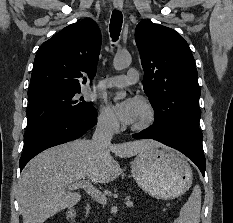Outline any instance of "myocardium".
I'll return each mask as SVG.
<instances>
[{"label": "myocardium", "mask_w": 233, "mask_h": 223, "mask_svg": "<svg viewBox=\"0 0 233 223\" xmlns=\"http://www.w3.org/2000/svg\"><path fill=\"white\" fill-rule=\"evenodd\" d=\"M141 102L146 111L148 120L143 124H133L131 126L132 130L140 133L150 130L157 124L158 121V114L153 104L147 98L144 97L141 98Z\"/></svg>", "instance_id": "1"}]
</instances>
